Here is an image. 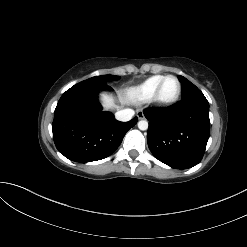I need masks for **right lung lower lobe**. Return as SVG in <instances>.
Here are the masks:
<instances>
[{"label": "right lung lower lobe", "instance_id": "98d812e1", "mask_svg": "<svg viewBox=\"0 0 247 247\" xmlns=\"http://www.w3.org/2000/svg\"><path fill=\"white\" fill-rule=\"evenodd\" d=\"M111 90L105 81L80 82L60 98L52 124L56 148L76 162H91L110 156L121 144L126 132L137 123L114 119L101 111L97 100L100 90Z\"/></svg>", "mask_w": 247, "mask_h": 247}]
</instances>
